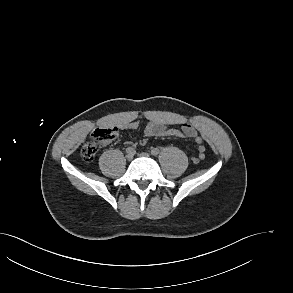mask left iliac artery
<instances>
[{
  "instance_id": "1",
  "label": "left iliac artery",
  "mask_w": 293,
  "mask_h": 293,
  "mask_svg": "<svg viewBox=\"0 0 293 293\" xmlns=\"http://www.w3.org/2000/svg\"><path fill=\"white\" fill-rule=\"evenodd\" d=\"M159 153H160V150L158 148H153L151 150V154L154 155V156L158 155Z\"/></svg>"
}]
</instances>
